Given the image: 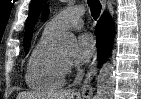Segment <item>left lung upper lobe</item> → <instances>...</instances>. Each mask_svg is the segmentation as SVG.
<instances>
[{
	"label": "left lung upper lobe",
	"instance_id": "5c2ea615",
	"mask_svg": "<svg viewBox=\"0 0 141 99\" xmlns=\"http://www.w3.org/2000/svg\"><path fill=\"white\" fill-rule=\"evenodd\" d=\"M45 2L46 0H32L31 2L29 15H28L26 27H25V36H24V47L26 52L28 51L30 47L34 25L41 11L42 4Z\"/></svg>",
	"mask_w": 141,
	"mask_h": 99
}]
</instances>
